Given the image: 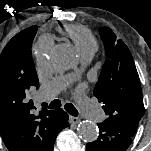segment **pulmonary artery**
<instances>
[{"label": "pulmonary artery", "instance_id": "e3ab8cb5", "mask_svg": "<svg viewBox=\"0 0 151 151\" xmlns=\"http://www.w3.org/2000/svg\"><path fill=\"white\" fill-rule=\"evenodd\" d=\"M94 53H87L81 56V62L83 64L89 63L93 58ZM62 84L60 83H48L41 88V96L45 98H51L56 95ZM77 100L80 108L84 113H86L92 120L100 121L103 119V114L99 108L94 106L89 99L85 96L83 89H79L77 94Z\"/></svg>", "mask_w": 151, "mask_h": 151}]
</instances>
